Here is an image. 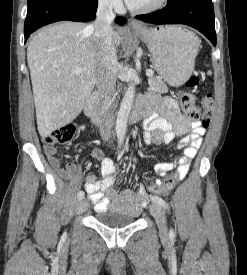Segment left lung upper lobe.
I'll use <instances>...</instances> for the list:
<instances>
[{"label":"left lung upper lobe","instance_id":"5c2ea615","mask_svg":"<svg viewBox=\"0 0 247 275\" xmlns=\"http://www.w3.org/2000/svg\"><path fill=\"white\" fill-rule=\"evenodd\" d=\"M172 1H175V0H168V3L172 2Z\"/></svg>","mask_w":247,"mask_h":275}]
</instances>
